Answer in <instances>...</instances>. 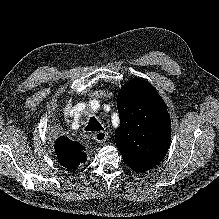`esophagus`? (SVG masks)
<instances>
[{
  "instance_id": "esophagus-1",
  "label": "esophagus",
  "mask_w": 219,
  "mask_h": 219,
  "mask_svg": "<svg viewBox=\"0 0 219 219\" xmlns=\"http://www.w3.org/2000/svg\"><path fill=\"white\" fill-rule=\"evenodd\" d=\"M108 138V134L105 131H99L94 134V139L98 143H104Z\"/></svg>"
}]
</instances>
